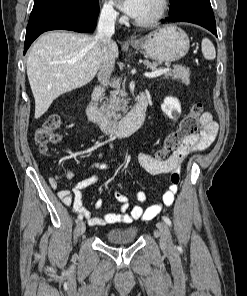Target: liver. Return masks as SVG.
Returning a JSON list of instances; mask_svg holds the SVG:
<instances>
[{"mask_svg":"<svg viewBox=\"0 0 247 296\" xmlns=\"http://www.w3.org/2000/svg\"><path fill=\"white\" fill-rule=\"evenodd\" d=\"M114 60L119 51L111 44ZM102 62L97 36L51 31L32 46L27 58V76L35 99V119L40 118L60 95L88 84Z\"/></svg>","mask_w":247,"mask_h":296,"instance_id":"liver-1","label":"liver"}]
</instances>
